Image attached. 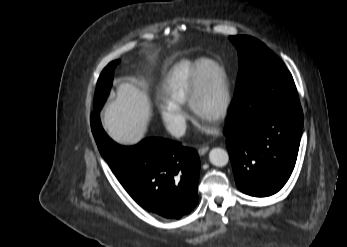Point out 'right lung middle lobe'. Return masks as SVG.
Returning <instances> with one entry per match:
<instances>
[{"label": "right lung middle lobe", "instance_id": "dd1d6c3e", "mask_svg": "<svg viewBox=\"0 0 347 247\" xmlns=\"http://www.w3.org/2000/svg\"><path fill=\"white\" fill-rule=\"evenodd\" d=\"M118 63L119 60L109 63L108 66L104 68L98 79L94 105H96L99 110L103 106V103L105 102L106 97L109 94V90L112 84L113 71Z\"/></svg>", "mask_w": 347, "mask_h": 247}]
</instances>
